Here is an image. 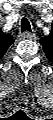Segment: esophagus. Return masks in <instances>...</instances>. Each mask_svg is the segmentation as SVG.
Listing matches in <instances>:
<instances>
[{
    "mask_svg": "<svg viewBox=\"0 0 53 120\" xmlns=\"http://www.w3.org/2000/svg\"><path fill=\"white\" fill-rule=\"evenodd\" d=\"M35 37V34H32L30 32H24L23 34H21L22 39L32 40L35 39Z\"/></svg>",
    "mask_w": 53,
    "mask_h": 120,
    "instance_id": "34e87169",
    "label": "esophagus"
}]
</instances>
